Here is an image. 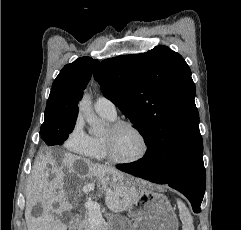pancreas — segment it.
Masks as SVG:
<instances>
[{"mask_svg": "<svg viewBox=\"0 0 241 230\" xmlns=\"http://www.w3.org/2000/svg\"><path fill=\"white\" fill-rule=\"evenodd\" d=\"M75 230H110V228L104 221L98 226L91 224L89 221V212L87 211L84 218L77 224Z\"/></svg>", "mask_w": 241, "mask_h": 230, "instance_id": "cf45deb5", "label": "pancreas"}]
</instances>
